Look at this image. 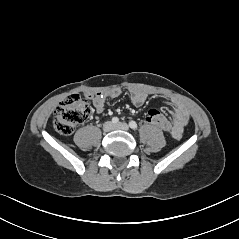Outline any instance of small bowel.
Returning <instances> with one entry per match:
<instances>
[{
    "instance_id": "1",
    "label": "small bowel",
    "mask_w": 239,
    "mask_h": 239,
    "mask_svg": "<svg viewBox=\"0 0 239 239\" xmlns=\"http://www.w3.org/2000/svg\"><path fill=\"white\" fill-rule=\"evenodd\" d=\"M119 93L118 90H112L88 94L87 96L92 99L96 112L100 114L104 111L106 100L117 97ZM130 97L133 104L140 106L146 101L147 94L142 90L133 89L130 92ZM168 100L171 104L172 122H170V127L163 131L168 132L174 139H180L188 124L189 114L184 105L177 99L168 98Z\"/></svg>"
}]
</instances>
